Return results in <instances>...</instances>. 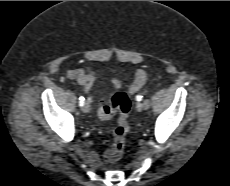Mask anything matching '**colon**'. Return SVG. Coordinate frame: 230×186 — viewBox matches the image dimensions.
<instances>
[{"instance_id":"5ec220e1","label":"colon","mask_w":230,"mask_h":186,"mask_svg":"<svg viewBox=\"0 0 230 186\" xmlns=\"http://www.w3.org/2000/svg\"><path fill=\"white\" fill-rule=\"evenodd\" d=\"M147 80V73L140 68L136 71L134 81L129 87V92L124 90L116 91L107 103H101L98 115L102 120H108L116 110L119 111L118 126L113 132V141L104 153L105 161L109 164L117 162L124 153L126 136L129 133V113L132 107L129 93L140 90Z\"/></svg>"}]
</instances>
